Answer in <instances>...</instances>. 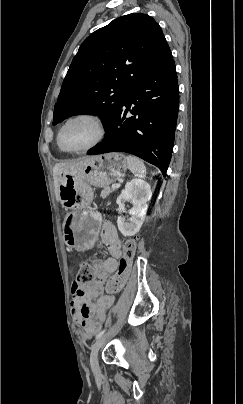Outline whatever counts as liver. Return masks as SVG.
<instances>
[{
    "label": "liver",
    "mask_w": 243,
    "mask_h": 404,
    "mask_svg": "<svg viewBox=\"0 0 243 404\" xmlns=\"http://www.w3.org/2000/svg\"><path fill=\"white\" fill-rule=\"evenodd\" d=\"M68 164H55L53 168V180H54V188H55V196L56 200H60V194H59V172L62 170V168H66Z\"/></svg>",
    "instance_id": "6515ba94"
}]
</instances>
